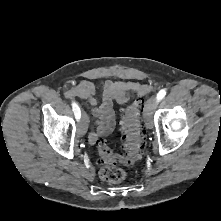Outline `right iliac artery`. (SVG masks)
Instances as JSON below:
<instances>
[{
    "label": "right iliac artery",
    "mask_w": 221,
    "mask_h": 221,
    "mask_svg": "<svg viewBox=\"0 0 221 221\" xmlns=\"http://www.w3.org/2000/svg\"><path fill=\"white\" fill-rule=\"evenodd\" d=\"M72 108H73V112L75 114L76 119L79 120L81 117V110L78 104L76 102H72Z\"/></svg>",
    "instance_id": "82829eb1"
}]
</instances>
